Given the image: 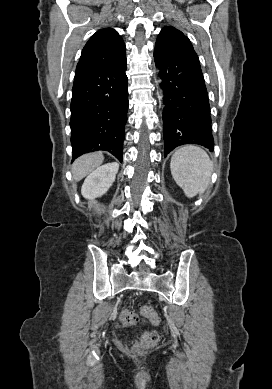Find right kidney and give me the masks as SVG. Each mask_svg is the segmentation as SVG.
<instances>
[{
    "label": "right kidney",
    "mask_w": 272,
    "mask_h": 389,
    "mask_svg": "<svg viewBox=\"0 0 272 389\" xmlns=\"http://www.w3.org/2000/svg\"><path fill=\"white\" fill-rule=\"evenodd\" d=\"M119 165L115 162L98 167L85 179L81 193L84 198L92 200L104 195L115 181Z\"/></svg>",
    "instance_id": "obj_1"
}]
</instances>
